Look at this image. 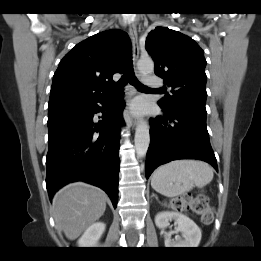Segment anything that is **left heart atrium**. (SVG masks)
Masks as SVG:
<instances>
[{
	"mask_svg": "<svg viewBox=\"0 0 261 261\" xmlns=\"http://www.w3.org/2000/svg\"><path fill=\"white\" fill-rule=\"evenodd\" d=\"M137 110H140V107H139V106L137 107Z\"/></svg>",
	"mask_w": 261,
	"mask_h": 261,
	"instance_id": "obj_1",
	"label": "left heart atrium"
}]
</instances>
